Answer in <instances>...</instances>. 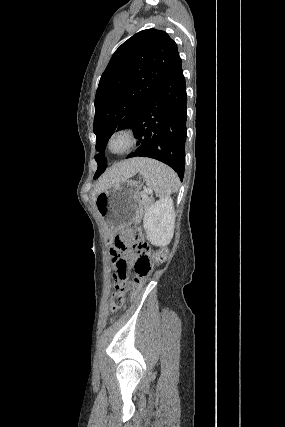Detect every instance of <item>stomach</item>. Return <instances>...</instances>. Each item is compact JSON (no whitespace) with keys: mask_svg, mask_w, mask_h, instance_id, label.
Wrapping results in <instances>:
<instances>
[{"mask_svg":"<svg viewBox=\"0 0 285 427\" xmlns=\"http://www.w3.org/2000/svg\"><path fill=\"white\" fill-rule=\"evenodd\" d=\"M139 189V182L126 179L97 195L96 209L110 234L130 225L137 218L140 205Z\"/></svg>","mask_w":285,"mask_h":427,"instance_id":"0dacf381","label":"stomach"}]
</instances>
